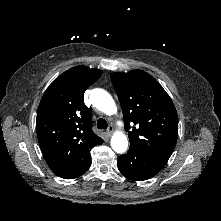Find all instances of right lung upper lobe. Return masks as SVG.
I'll list each match as a JSON object with an SVG mask.
<instances>
[{
	"mask_svg": "<svg viewBox=\"0 0 221 221\" xmlns=\"http://www.w3.org/2000/svg\"><path fill=\"white\" fill-rule=\"evenodd\" d=\"M102 74L85 66L71 68L56 78L39 104L36 131L50 169L61 176L91 158L90 150L104 140L92 131L84 92Z\"/></svg>",
	"mask_w": 221,
	"mask_h": 221,
	"instance_id": "cb5924a9",
	"label": "right lung upper lobe"
}]
</instances>
